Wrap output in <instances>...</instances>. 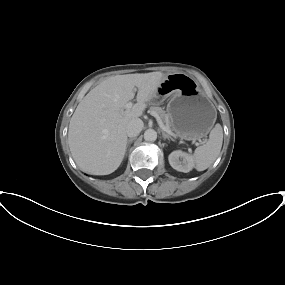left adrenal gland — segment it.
<instances>
[{"label": "left adrenal gland", "instance_id": "obj_1", "mask_svg": "<svg viewBox=\"0 0 285 285\" xmlns=\"http://www.w3.org/2000/svg\"><path fill=\"white\" fill-rule=\"evenodd\" d=\"M162 136H163V138H164V140L165 139H168V140H174L171 136H169L168 134H166L164 131H162Z\"/></svg>", "mask_w": 285, "mask_h": 285}]
</instances>
